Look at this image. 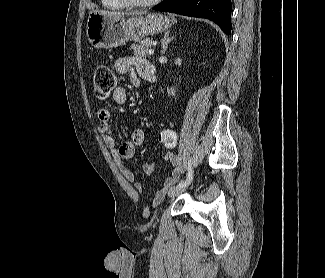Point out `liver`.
<instances>
[{"mask_svg":"<svg viewBox=\"0 0 325 278\" xmlns=\"http://www.w3.org/2000/svg\"><path fill=\"white\" fill-rule=\"evenodd\" d=\"M100 12L104 15H108V16H113V17H122L124 14L123 13H119V12H112V11H97ZM145 14V12H135L133 14L130 15H143Z\"/></svg>","mask_w":325,"mask_h":278,"instance_id":"6515ba94","label":"liver"}]
</instances>
